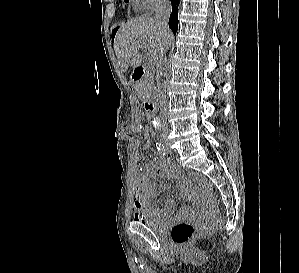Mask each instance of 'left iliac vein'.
I'll list each match as a JSON object with an SVG mask.
<instances>
[{"label":"left iliac vein","instance_id":"1","mask_svg":"<svg viewBox=\"0 0 299 273\" xmlns=\"http://www.w3.org/2000/svg\"><path fill=\"white\" fill-rule=\"evenodd\" d=\"M166 148H167V150L169 151V152H171V148H170V145L167 143L166 144Z\"/></svg>","mask_w":299,"mask_h":273}]
</instances>
